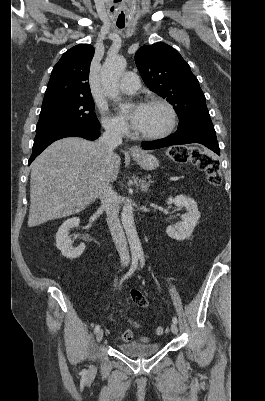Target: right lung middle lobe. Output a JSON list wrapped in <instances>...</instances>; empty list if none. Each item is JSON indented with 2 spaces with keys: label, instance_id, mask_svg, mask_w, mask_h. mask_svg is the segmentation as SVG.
<instances>
[{
  "label": "right lung middle lobe",
  "instance_id": "right-lung-middle-lobe-1",
  "mask_svg": "<svg viewBox=\"0 0 265 401\" xmlns=\"http://www.w3.org/2000/svg\"><path fill=\"white\" fill-rule=\"evenodd\" d=\"M54 125L100 128L92 97L63 99L42 105L36 131Z\"/></svg>",
  "mask_w": 265,
  "mask_h": 401
}]
</instances>
